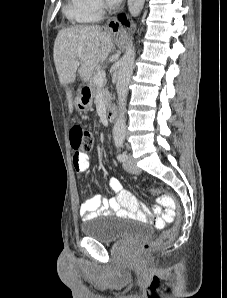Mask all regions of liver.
I'll return each instance as SVG.
<instances>
[{"label":"liver","mask_w":227,"mask_h":298,"mask_svg":"<svg viewBox=\"0 0 227 298\" xmlns=\"http://www.w3.org/2000/svg\"><path fill=\"white\" fill-rule=\"evenodd\" d=\"M112 47L110 33L99 26H76L59 31L53 56L60 84L66 88L70 114L74 101L69 86L78 76L83 82H87L95 67L107 59Z\"/></svg>","instance_id":"1"}]
</instances>
